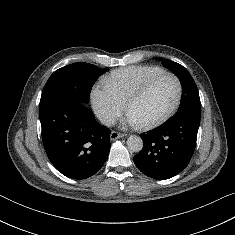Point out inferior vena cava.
Listing matches in <instances>:
<instances>
[{
	"label": "inferior vena cava",
	"mask_w": 235,
	"mask_h": 235,
	"mask_svg": "<svg viewBox=\"0 0 235 235\" xmlns=\"http://www.w3.org/2000/svg\"><path fill=\"white\" fill-rule=\"evenodd\" d=\"M99 120L106 126H111L115 123V117L108 113H103L99 115Z\"/></svg>",
	"instance_id": "obj_1"
}]
</instances>
